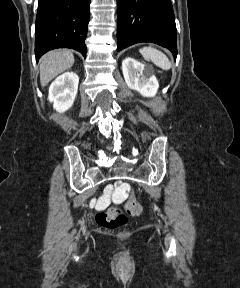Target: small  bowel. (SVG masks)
Instances as JSON below:
<instances>
[{
  "instance_id": "c3829d8e",
  "label": "small bowel",
  "mask_w": 240,
  "mask_h": 288,
  "mask_svg": "<svg viewBox=\"0 0 240 288\" xmlns=\"http://www.w3.org/2000/svg\"><path fill=\"white\" fill-rule=\"evenodd\" d=\"M125 194V187L121 186L116 190V196L117 197H123Z\"/></svg>"
}]
</instances>
